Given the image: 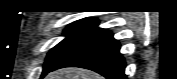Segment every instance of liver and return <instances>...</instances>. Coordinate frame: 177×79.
<instances>
[{"instance_id": "1", "label": "liver", "mask_w": 177, "mask_h": 79, "mask_svg": "<svg viewBox=\"0 0 177 79\" xmlns=\"http://www.w3.org/2000/svg\"><path fill=\"white\" fill-rule=\"evenodd\" d=\"M46 79H102V77L82 68H62L48 74Z\"/></svg>"}]
</instances>
